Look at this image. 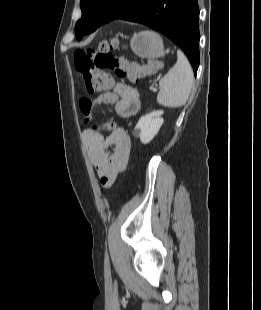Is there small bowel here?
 I'll return each instance as SVG.
<instances>
[{
    "label": "small bowel",
    "instance_id": "1",
    "mask_svg": "<svg viewBox=\"0 0 261 310\" xmlns=\"http://www.w3.org/2000/svg\"><path fill=\"white\" fill-rule=\"evenodd\" d=\"M97 104L115 105L116 112L123 118L133 117L141 107L139 91L125 83H116L111 91L104 92L95 98L82 97L79 107L86 122L91 118L92 109ZM103 132H108L105 136ZM83 139L88 148L90 161L105 186H111L118 173L127 165L131 139L128 133L114 122L101 125V130L86 129ZM114 146L113 152L109 147Z\"/></svg>",
    "mask_w": 261,
    "mask_h": 310
}]
</instances>
